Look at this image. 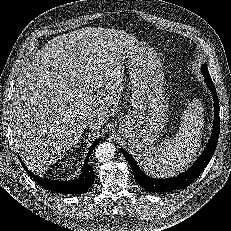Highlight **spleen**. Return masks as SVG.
Masks as SVG:
<instances>
[{"label": "spleen", "instance_id": "3e777b00", "mask_svg": "<svg viewBox=\"0 0 231 231\" xmlns=\"http://www.w3.org/2000/svg\"><path fill=\"white\" fill-rule=\"evenodd\" d=\"M174 138H166L159 146L139 152L143 170L154 177L173 176L193 161L200 147L204 119L199 100L188 104Z\"/></svg>", "mask_w": 231, "mask_h": 231}]
</instances>
